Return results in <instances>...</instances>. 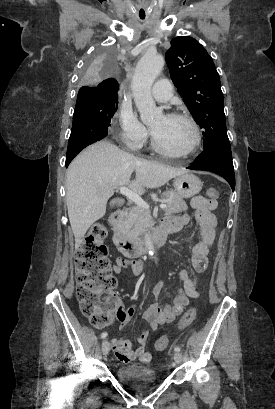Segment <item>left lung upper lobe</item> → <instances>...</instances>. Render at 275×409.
I'll use <instances>...</instances> for the list:
<instances>
[{
  "mask_svg": "<svg viewBox=\"0 0 275 409\" xmlns=\"http://www.w3.org/2000/svg\"><path fill=\"white\" fill-rule=\"evenodd\" d=\"M165 59L180 96L204 129V151L230 143L219 74L205 48L189 36H179L172 39Z\"/></svg>",
  "mask_w": 275,
  "mask_h": 409,
  "instance_id": "5c2ea615",
  "label": "left lung upper lobe"
}]
</instances>
